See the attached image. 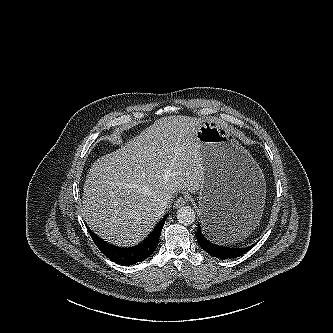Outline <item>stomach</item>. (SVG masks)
I'll return each instance as SVG.
<instances>
[{"label":"stomach","instance_id":"1","mask_svg":"<svg viewBox=\"0 0 333 333\" xmlns=\"http://www.w3.org/2000/svg\"><path fill=\"white\" fill-rule=\"evenodd\" d=\"M204 172L199 213L207 236L235 246L252 235L265 204L266 183L258 163L234 135L213 120L197 128Z\"/></svg>","mask_w":333,"mask_h":333}]
</instances>
